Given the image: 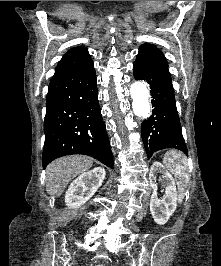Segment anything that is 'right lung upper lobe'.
I'll use <instances>...</instances> for the list:
<instances>
[{"mask_svg": "<svg viewBox=\"0 0 221 266\" xmlns=\"http://www.w3.org/2000/svg\"><path fill=\"white\" fill-rule=\"evenodd\" d=\"M89 60L91 57L87 48L82 46L71 48L59 61L54 76L80 67Z\"/></svg>", "mask_w": 221, "mask_h": 266, "instance_id": "1", "label": "right lung upper lobe"}]
</instances>
